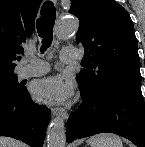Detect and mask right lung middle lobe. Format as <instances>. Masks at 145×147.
<instances>
[{
    "instance_id": "1",
    "label": "right lung middle lobe",
    "mask_w": 145,
    "mask_h": 147,
    "mask_svg": "<svg viewBox=\"0 0 145 147\" xmlns=\"http://www.w3.org/2000/svg\"><path fill=\"white\" fill-rule=\"evenodd\" d=\"M24 89L25 87L18 83L16 74H0V99L16 98Z\"/></svg>"
}]
</instances>
